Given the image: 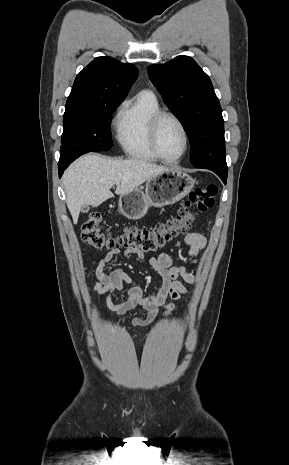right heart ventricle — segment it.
I'll use <instances>...</instances> for the list:
<instances>
[{
	"instance_id": "obj_1",
	"label": "right heart ventricle",
	"mask_w": 289,
	"mask_h": 465,
	"mask_svg": "<svg viewBox=\"0 0 289 465\" xmlns=\"http://www.w3.org/2000/svg\"><path fill=\"white\" fill-rule=\"evenodd\" d=\"M161 111L154 93L148 90L139 92L125 103L117 118V139L124 152L131 158L154 162L158 158L153 153L149 129L153 116Z\"/></svg>"
}]
</instances>
